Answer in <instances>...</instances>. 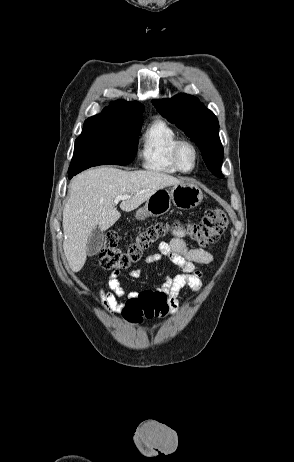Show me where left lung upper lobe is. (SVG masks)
I'll return each instance as SVG.
<instances>
[{
    "mask_svg": "<svg viewBox=\"0 0 294 462\" xmlns=\"http://www.w3.org/2000/svg\"><path fill=\"white\" fill-rule=\"evenodd\" d=\"M152 103L163 117L184 130L201 150L208 169L222 178L223 147L218 136L219 123L216 116L204 108L196 97L187 94L152 100Z\"/></svg>",
    "mask_w": 294,
    "mask_h": 462,
    "instance_id": "1",
    "label": "left lung upper lobe"
}]
</instances>
